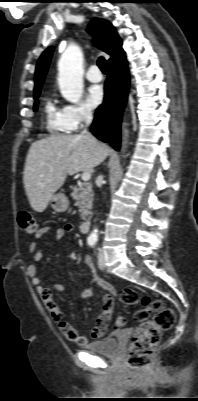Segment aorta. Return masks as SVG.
I'll return each mask as SVG.
<instances>
[{
  "label": "aorta",
  "instance_id": "obj_1",
  "mask_svg": "<svg viewBox=\"0 0 198 401\" xmlns=\"http://www.w3.org/2000/svg\"><path fill=\"white\" fill-rule=\"evenodd\" d=\"M58 83L62 96L71 103H78L83 93L82 52L76 45H70L62 54L58 63ZM97 238V230L90 234Z\"/></svg>",
  "mask_w": 198,
  "mask_h": 401
}]
</instances>
